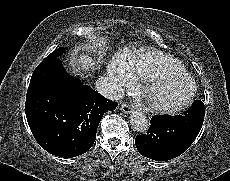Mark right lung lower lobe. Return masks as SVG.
<instances>
[{
  "mask_svg": "<svg viewBox=\"0 0 230 181\" xmlns=\"http://www.w3.org/2000/svg\"><path fill=\"white\" fill-rule=\"evenodd\" d=\"M117 105L65 73L60 59L53 58L43 60L34 70L25 113L40 146L68 158L92 147L103 114Z\"/></svg>",
  "mask_w": 230,
  "mask_h": 181,
  "instance_id": "1",
  "label": "right lung lower lobe"
}]
</instances>
